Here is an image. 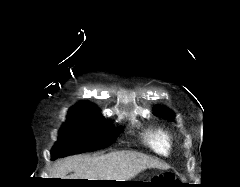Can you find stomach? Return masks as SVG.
<instances>
[{
    "mask_svg": "<svg viewBox=\"0 0 240 187\" xmlns=\"http://www.w3.org/2000/svg\"><path fill=\"white\" fill-rule=\"evenodd\" d=\"M122 186H132V184H123Z\"/></svg>",
    "mask_w": 240,
    "mask_h": 187,
    "instance_id": "stomach-1",
    "label": "stomach"
}]
</instances>
